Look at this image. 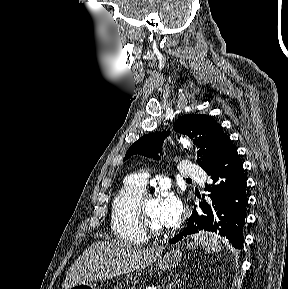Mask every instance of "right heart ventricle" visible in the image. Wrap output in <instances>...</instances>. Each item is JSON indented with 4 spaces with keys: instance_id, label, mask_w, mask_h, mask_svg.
Instances as JSON below:
<instances>
[{
    "instance_id": "obj_1",
    "label": "right heart ventricle",
    "mask_w": 288,
    "mask_h": 289,
    "mask_svg": "<svg viewBox=\"0 0 288 289\" xmlns=\"http://www.w3.org/2000/svg\"><path fill=\"white\" fill-rule=\"evenodd\" d=\"M143 192V187L126 179L112 199L111 230L114 236L122 243L141 245L147 240V236L135 227L133 221L134 203Z\"/></svg>"
}]
</instances>
